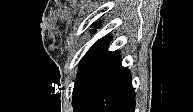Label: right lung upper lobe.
Returning a JSON list of instances; mask_svg holds the SVG:
<instances>
[{"label":"right lung upper lobe","instance_id":"1","mask_svg":"<svg viewBox=\"0 0 193 112\" xmlns=\"http://www.w3.org/2000/svg\"><path fill=\"white\" fill-rule=\"evenodd\" d=\"M94 25H95V27H99V26H100V24H99V23H95Z\"/></svg>","mask_w":193,"mask_h":112}]
</instances>
